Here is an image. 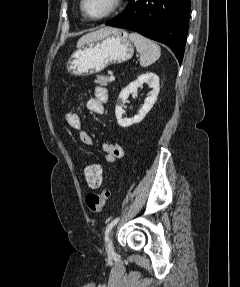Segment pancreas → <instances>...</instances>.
Returning <instances> with one entry per match:
<instances>
[{"label": "pancreas", "mask_w": 240, "mask_h": 287, "mask_svg": "<svg viewBox=\"0 0 240 287\" xmlns=\"http://www.w3.org/2000/svg\"><path fill=\"white\" fill-rule=\"evenodd\" d=\"M95 82L102 86H106L110 84L112 80H110L108 76L99 75L97 76V79L95 80Z\"/></svg>", "instance_id": "pancreas-1"}]
</instances>
